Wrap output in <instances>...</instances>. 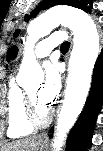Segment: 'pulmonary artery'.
Masks as SVG:
<instances>
[{
    "mask_svg": "<svg viewBox=\"0 0 103 151\" xmlns=\"http://www.w3.org/2000/svg\"><path fill=\"white\" fill-rule=\"evenodd\" d=\"M67 39L64 32L58 31L47 38L41 40L37 43L34 49V55L36 58H43L48 56L51 51L60 43H63Z\"/></svg>",
    "mask_w": 103,
    "mask_h": 151,
    "instance_id": "obj_1",
    "label": "pulmonary artery"
}]
</instances>
